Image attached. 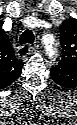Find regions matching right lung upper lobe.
<instances>
[{
    "label": "right lung upper lobe",
    "instance_id": "cb5924a9",
    "mask_svg": "<svg viewBox=\"0 0 77 125\" xmlns=\"http://www.w3.org/2000/svg\"><path fill=\"white\" fill-rule=\"evenodd\" d=\"M23 62L14 54L8 36L0 31V86L5 88L11 85L21 74Z\"/></svg>",
    "mask_w": 77,
    "mask_h": 125
}]
</instances>
